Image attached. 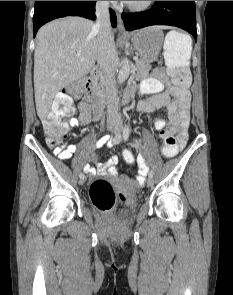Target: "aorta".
Returning a JSON list of instances; mask_svg holds the SVG:
<instances>
[{
  "instance_id": "1",
  "label": "aorta",
  "mask_w": 233,
  "mask_h": 295,
  "mask_svg": "<svg viewBox=\"0 0 233 295\" xmlns=\"http://www.w3.org/2000/svg\"><path fill=\"white\" fill-rule=\"evenodd\" d=\"M130 72H131L130 61L127 58H125L121 62V68L118 73V82L119 83L124 82L128 78Z\"/></svg>"
}]
</instances>
